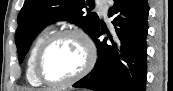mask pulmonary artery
<instances>
[{
    "label": "pulmonary artery",
    "instance_id": "obj_1",
    "mask_svg": "<svg viewBox=\"0 0 173 91\" xmlns=\"http://www.w3.org/2000/svg\"><path fill=\"white\" fill-rule=\"evenodd\" d=\"M105 2L106 1H103V0H99L97 1V3L99 4L100 6V11L102 14L106 15V5H105Z\"/></svg>",
    "mask_w": 173,
    "mask_h": 91
}]
</instances>
